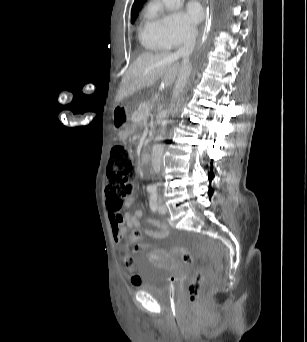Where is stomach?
<instances>
[{
	"label": "stomach",
	"mask_w": 307,
	"mask_h": 342,
	"mask_svg": "<svg viewBox=\"0 0 307 342\" xmlns=\"http://www.w3.org/2000/svg\"><path fill=\"white\" fill-rule=\"evenodd\" d=\"M113 118L120 128L126 129L130 119V112L127 109L118 106L113 111Z\"/></svg>",
	"instance_id": "1"
}]
</instances>
